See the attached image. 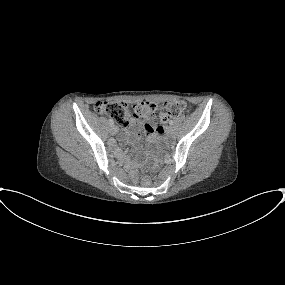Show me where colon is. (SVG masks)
<instances>
[{
    "instance_id": "obj_1",
    "label": "colon",
    "mask_w": 285,
    "mask_h": 285,
    "mask_svg": "<svg viewBox=\"0 0 285 285\" xmlns=\"http://www.w3.org/2000/svg\"><path fill=\"white\" fill-rule=\"evenodd\" d=\"M96 112L107 115L113 122L120 126H127L130 121V111L126 104L98 101L94 104ZM187 109V103L182 100L167 101L157 106L152 102H141L133 106V115L152 121H167L171 117L178 116ZM148 181L146 176L142 177Z\"/></svg>"
}]
</instances>
